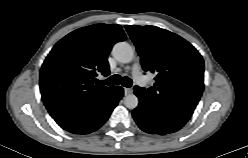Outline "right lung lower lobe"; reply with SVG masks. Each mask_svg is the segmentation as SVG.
<instances>
[{"label":"right lung lower lobe","instance_id":"1","mask_svg":"<svg viewBox=\"0 0 248 158\" xmlns=\"http://www.w3.org/2000/svg\"><path fill=\"white\" fill-rule=\"evenodd\" d=\"M122 96V87L115 86L88 109L54 120L61 128L71 133H91L99 129L107 121Z\"/></svg>","mask_w":248,"mask_h":158}]
</instances>
